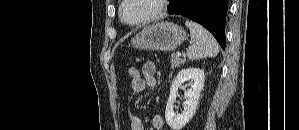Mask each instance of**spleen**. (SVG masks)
<instances>
[{
    "mask_svg": "<svg viewBox=\"0 0 299 130\" xmlns=\"http://www.w3.org/2000/svg\"><path fill=\"white\" fill-rule=\"evenodd\" d=\"M185 25L190 30L191 45L187 49L190 60H198L207 57H215L219 52L216 39L200 24L186 20Z\"/></svg>",
    "mask_w": 299,
    "mask_h": 130,
    "instance_id": "obj_1",
    "label": "spleen"
}]
</instances>
